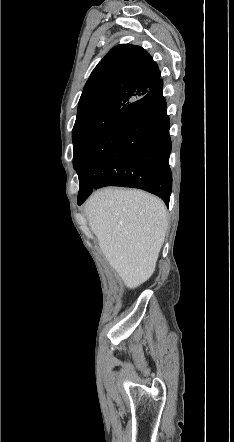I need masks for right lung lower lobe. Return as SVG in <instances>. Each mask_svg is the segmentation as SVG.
<instances>
[{"instance_id": "obj_1", "label": "right lung lower lobe", "mask_w": 234, "mask_h": 442, "mask_svg": "<svg viewBox=\"0 0 234 442\" xmlns=\"http://www.w3.org/2000/svg\"><path fill=\"white\" fill-rule=\"evenodd\" d=\"M160 79L151 90L122 107L79 164L82 204L93 189L124 186L146 190L169 205L170 121Z\"/></svg>"}]
</instances>
